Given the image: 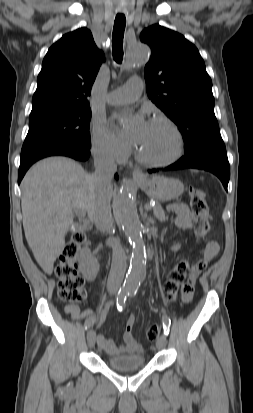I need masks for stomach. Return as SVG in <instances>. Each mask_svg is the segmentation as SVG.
Returning <instances> with one entry per match:
<instances>
[{
  "label": "stomach",
  "instance_id": "0dacf381",
  "mask_svg": "<svg viewBox=\"0 0 253 413\" xmlns=\"http://www.w3.org/2000/svg\"><path fill=\"white\" fill-rule=\"evenodd\" d=\"M138 184L149 197L162 202L174 200L184 191V185L180 180L164 176L148 178Z\"/></svg>",
  "mask_w": 253,
  "mask_h": 413
}]
</instances>
